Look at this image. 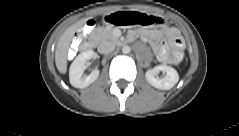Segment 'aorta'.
<instances>
[{"mask_svg": "<svg viewBox=\"0 0 239 136\" xmlns=\"http://www.w3.org/2000/svg\"><path fill=\"white\" fill-rule=\"evenodd\" d=\"M130 51H131V49H130L129 46H123V48H122V52H123L124 54H128V53H130Z\"/></svg>", "mask_w": 239, "mask_h": 136, "instance_id": "aorta-1", "label": "aorta"}]
</instances>
